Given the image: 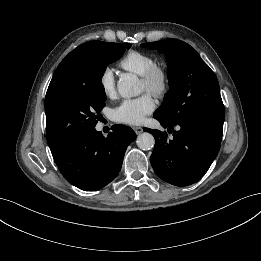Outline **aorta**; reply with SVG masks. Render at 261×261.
Listing matches in <instances>:
<instances>
[{"label": "aorta", "instance_id": "762f6f07", "mask_svg": "<svg viewBox=\"0 0 261 261\" xmlns=\"http://www.w3.org/2000/svg\"><path fill=\"white\" fill-rule=\"evenodd\" d=\"M119 94L124 98H131L142 93V85L135 74L125 73L120 76L117 83ZM137 145L141 150H150L155 145L152 134L144 132L137 137Z\"/></svg>", "mask_w": 261, "mask_h": 261}]
</instances>
